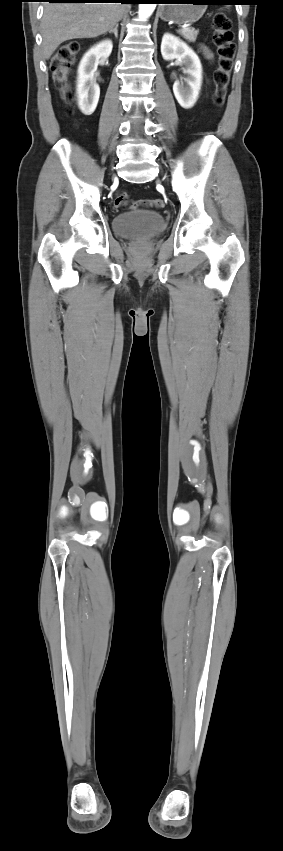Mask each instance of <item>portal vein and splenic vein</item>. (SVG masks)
Listing matches in <instances>:
<instances>
[{"mask_svg":"<svg viewBox=\"0 0 283 851\" xmlns=\"http://www.w3.org/2000/svg\"><path fill=\"white\" fill-rule=\"evenodd\" d=\"M185 29H187V26H183L181 30H185Z\"/></svg>","mask_w":283,"mask_h":851,"instance_id":"obj_1","label":"portal vein and splenic vein"}]
</instances>
